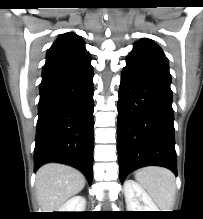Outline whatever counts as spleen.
Returning a JSON list of instances; mask_svg holds the SVG:
<instances>
[{
  "label": "spleen",
  "instance_id": "3e777b00",
  "mask_svg": "<svg viewBox=\"0 0 203 219\" xmlns=\"http://www.w3.org/2000/svg\"><path fill=\"white\" fill-rule=\"evenodd\" d=\"M135 179L146 189L161 211H171L175 201V176L160 167H146L135 173Z\"/></svg>",
  "mask_w": 203,
  "mask_h": 219
}]
</instances>
